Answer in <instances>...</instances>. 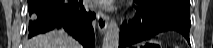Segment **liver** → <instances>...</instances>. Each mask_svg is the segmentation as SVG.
<instances>
[{
    "label": "liver",
    "instance_id": "1",
    "mask_svg": "<svg viewBox=\"0 0 213 48\" xmlns=\"http://www.w3.org/2000/svg\"><path fill=\"white\" fill-rule=\"evenodd\" d=\"M25 48H82V46L63 31H51L30 39Z\"/></svg>",
    "mask_w": 213,
    "mask_h": 48
}]
</instances>
